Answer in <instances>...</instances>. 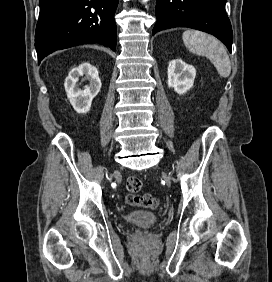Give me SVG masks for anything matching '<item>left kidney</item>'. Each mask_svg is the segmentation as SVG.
<instances>
[{"instance_id":"obj_1","label":"left kidney","mask_w":272,"mask_h":282,"mask_svg":"<svg viewBox=\"0 0 272 282\" xmlns=\"http://www.w3.org/2000/svg\"><path fill=\"white\" fill-rule=\"evenodd\" d=\"M167 73L168 87L174 88L176 93L181 95L192 88L196 76V70L192 65L181 59H174L169 62Z\"/></svg>"}]
</instances>
